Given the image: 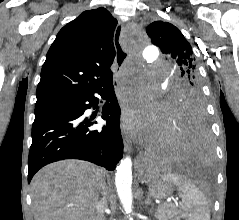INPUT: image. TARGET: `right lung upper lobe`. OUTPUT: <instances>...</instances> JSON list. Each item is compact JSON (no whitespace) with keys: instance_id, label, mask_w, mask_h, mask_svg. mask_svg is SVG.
Masks as SVG:
<instances>
[{"instance_id":"obj_1","label":"right lung upper lobe","mask_w":239,"mask_h":220,"mask_svg":"<svg viewBox=\"0 0 239 220\" xmlns=\"http://www.w3.org/2000/svg\"><path fill=\"white\" fill-rule=\"evenodd\" d=\"M116 25L109 11L98 8L59 31L41 70L35 107L86 94L112 75Z\"/></svg>"}]
</instances>
